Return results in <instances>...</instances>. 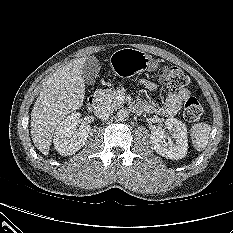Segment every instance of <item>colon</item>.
I'll return each instance as SVG.
<instances>
[{
  "label": "colon",
  "mask_w": 233,
  "mask_h": 233,
  "mask_svg": "<svg viewBox=\"0 0 233 233\" xmlns=\"http://www.w3.org/2000/svg\"><path fill=\"white\" fill-rule=\"evenodd\" d=\"M159 80L170 89H181L189 83V77L183 70L170 65L162 69ZM202 113L203 108L200 102L194 97H189L183 108L184 119L188 122H196L200 119Z\"/></svg>",
  "instance_id": "5ec220e1"
}]
</instances>
